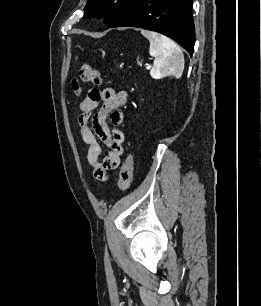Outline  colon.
Returning <instances> with one entry per match:
<instances>
[{
  "instance_id": "obj_1",
  "label": "colon",
  "mask_w": 261,
  "mask_h": 306,
  "mask_svg": "<svg viewBox=\"0 0 261 306\" xmlns=\"http://www.w3.org/2000/svg\"><path fill=\"white\" fill-rule=\"evenodd\" d=\"M100 84L101 77L98 69L88 63H84L80 70L77 78H74L71 82L72 91L78 95L81 92V83ZM133 176V159L131 155H127L125 158L118 181L119 188L121 190H127L131 184Z\"/></svg>"
}]
</instances>
